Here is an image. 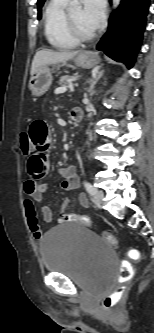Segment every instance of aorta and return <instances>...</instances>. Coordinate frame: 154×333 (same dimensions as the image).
<instances>
[{"instance_id": "762f6f07", "label": "aorta", "mask_w": 154, "mask_h": 333, "mask_svg": "<svg viewBox=\"0 0 154 333\" xmlns=\"http://www.w3.org/2000/svg\"><path fill=\"white\" fill-rule=\"evenodd\" d=\"M120 1L121 0H112L114 8L118 7V5L120 4ZM71 3L72 4H77L78 0H71Z\"/></svg>"}]
</instances>
